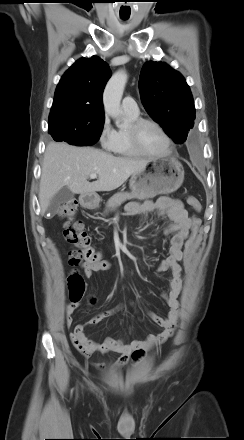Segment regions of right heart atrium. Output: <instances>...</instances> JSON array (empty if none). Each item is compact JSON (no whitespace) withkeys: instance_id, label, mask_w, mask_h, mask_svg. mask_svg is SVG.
I'll list each match as a JSON object with an SVG mask.
<instances>
[{"instance_id":"obj_1","label":"right heart atrium","mask_w":244,"mask_h":440,"mask_svg":"<svg viewBox=\"0 0 244 440\" xmlns=\"http://www.w3.org/2000/svg\"><path fill=\"white\" fill-rule=\"evenodd\" d=\"M114 139L115 130L111 126L109 119L105 117L99 132V142L104 149L110 150L114 143Z\"/></svg>"}]
</instances>
